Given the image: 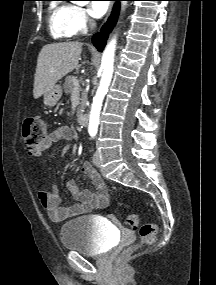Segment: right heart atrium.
Here are the masks:
<instances>
[{
	"label": "right heart atrium",
	"instance_id": "right-heart-atrium-1",
	"mask_svg": "<svg viewBox=\"0 0 216 285\" xmlns=\"http://www.w3.org/2000/svg\"><path fill=\"white\" fill-rule=\"evenodd\" d=\"M71 20L75 32H84L92 23L87 10L81 6H72Z\"/></svg>",
	"mask_w": 216,
	"mask_h": 285
}]
</instances>
